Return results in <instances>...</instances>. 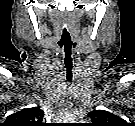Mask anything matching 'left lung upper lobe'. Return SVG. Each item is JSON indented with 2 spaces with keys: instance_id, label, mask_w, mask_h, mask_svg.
<instances>
[{
  "instance_id": "1",
  "label": "left lung upper lobe",
  "mask_w": 135,
  "mask_h": 126,
  "mask_svg": "<svg viewBox=\"0 0 135 126\" xmlns=\"http://www.w3.org/2000/svg\"><path fill=\"white\" fill-rule=\"evenodd\" d=\"M88 116L91 118L93 126H116L122 122L121 118L105 110L91 111Z\"/></svg>"
}]
</instances>
